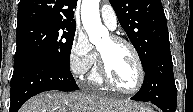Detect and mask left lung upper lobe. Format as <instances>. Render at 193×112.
<instances>
[{"instance_id":"1","label":"left lung upper lobe","mask_w":193,"mask_h":112,"mask_svg":"<svg viewBox=\"0 0 193 112\" xmlns=\"http://www.w3.org/2000/svg\"><path fill=\"white\" fill-rule=\"evenodd\" d=\"M117 18L138 52L143 69L152 56L169 43L160 0H110Z\"/></svg>"}]
</instances>
